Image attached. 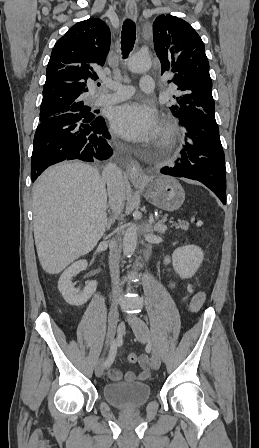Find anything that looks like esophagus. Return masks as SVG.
<instances>
[{
	"mask_svg": "<svg viewBox=\"0 0 259 448\" xmlns=\"http://www.w3.org/2000/svg\"><path fill=\"white\" fill-rule=\"evenodd\" d=\"M126 15L132 20L137 19V6L135 0H127ZM127 174L133 184H140L144 180V172L140 163L135 159H130L126 167Z\"/></svg>",
	"mask_w": 259,
	"mask_h": 448,
	"instance_id": "obj_1",
	"label": "esophagus"
}]
</instances>
